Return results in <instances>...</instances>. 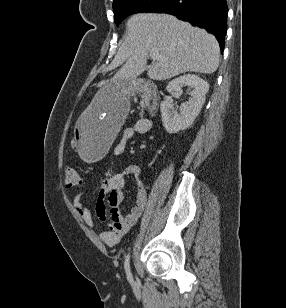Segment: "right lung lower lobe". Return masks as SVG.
<instances>
[{
	"mask_svg": "<svg viewBox=\"0 0 286 308\" xmlns=\"http://www.w3.org/2000/svg\"><path fill=\"white\" fill-rule=\"evenodd\" d=\"M152 12L168 13L209 30L215 35L221 52L223 51L228 15L226 0H167Z\"/></svg>",
	"mask_w": 286,
	"mask_h": 308,
	"instance_id": "98d812e1",
	"label": "right lung lower lobe"
}]
</instances>
